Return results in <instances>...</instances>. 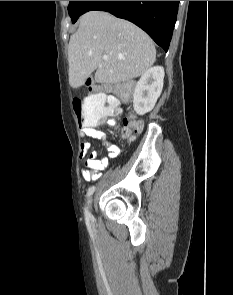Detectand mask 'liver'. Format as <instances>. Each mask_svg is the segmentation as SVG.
I'll list each match as a JSON object with an SVG mask.
<instances>
[{"instance_id": "liver-1", "label": "liver", "mask_w": 233, "mask_h": 295, "mask_svg": "<svg viewBox=\"0 0 233 295\" xmlns=\"http://www.w3.org/2000/svg\"><path fill=\"white\" fill-rule=\"evenodd\" d=\"M155 60L154 43L143 30L108 12L90 11L70 37L69 84L79 88L93 72L97 83L125 82L143 75Z\"/></svg>"}]
</instances>
